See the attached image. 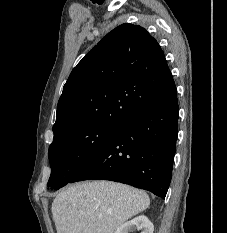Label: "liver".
Instances as JSON below:
<instances>
[{
    "label": "liver",
    "instance_id": "obj_1",
    "mask_svg": "<svg viewBox=\"0 0 227 233\" xmlns=\"http://www.w3.org/2000/svg\"><path fill=\"white\" fill-rule=\"evenodd\" d=\"M146 192L111 181L77 183L61 191L52 203L57 233H114L147 209Z\"/></svg>",
    "mask_w": 227,
    "mask_h": 233
}]
</instances>
